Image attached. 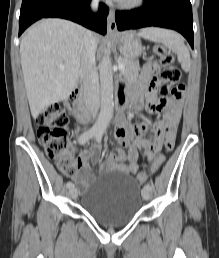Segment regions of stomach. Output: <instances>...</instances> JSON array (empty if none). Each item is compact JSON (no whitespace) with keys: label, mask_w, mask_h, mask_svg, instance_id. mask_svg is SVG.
I'll return each mask as SVG.
<instances>
[{"label":"stomach","mask_w":219,"mask_h":258,"mask_svg":"<svg viewBox=\"0 0 219 258\" xmlns=\"http://www.w3.org/2000/svg\"><path fill=\"white\" fill-rule=\"evenodd\" d=\"M119 49L122 56L129 59H136L143 51L140 40L132 31L120 35Z\"/></svg>","instance_id":"1"}]
</instances>
